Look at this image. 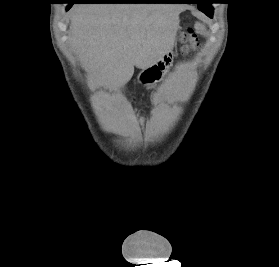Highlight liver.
<instances>
[{
    "label": "liver",
    "instance_id": "1",
    "mask_svg": "<svg viewBox=\"0 0 279 267\" xmlns=\"http://www.w3.org/2000/svg\"><path fill=\"white\" fill-rule=\"evenodd\" d=\"M183 9L159 3L79 5L69 40L91 77L116 90L131 79L134 66L145 69L173 49Z\"/></svg>",
    "mask_w": 279,
    "mask_h": 267
}]
</instances>
